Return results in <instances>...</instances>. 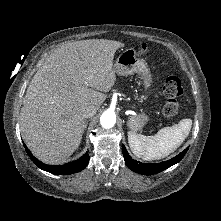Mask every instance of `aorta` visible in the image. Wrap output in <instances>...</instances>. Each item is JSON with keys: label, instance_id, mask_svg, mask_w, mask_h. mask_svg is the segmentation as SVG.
Returning <instances> with one entry per match:
<instances>
[{"label": "aorta", "instance_id": "aorta-1", "mask_svg": "<svg viewBox=\"0 0 221 221\" xmlns=\"http://www.w3.org/2000/svg\"><path fill=\"white\" fill-rule=\"evenodd\" d=\"M100 123L103 128H112L116 123V116L111 111H105L100 117Z\"/></svg>", "mask_w": 221, "mask_h": 221}]
</instances>
